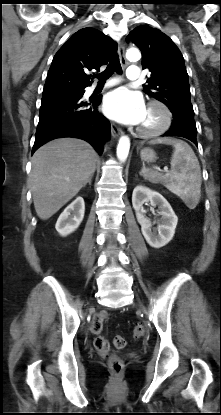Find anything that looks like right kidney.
Returning <instances> with one entry per match:
<instances>
[{
  "label": "right kidney",
  "instance_id": "obj_1",
  "mask_svg": "<svg viewBox=\"0 0 221 415\" xmlns=\"http://www.w3.org/2000/svg\"><path fill=\"white\" fill-rule=\"evenodd\" d=\"M85 204L82 197H77L60 214L55 228L61 236H67L74 232L84 218Z\"/></svg>",
  "mask_w": 221,
  "mask_h": 415
}]
</instances>
